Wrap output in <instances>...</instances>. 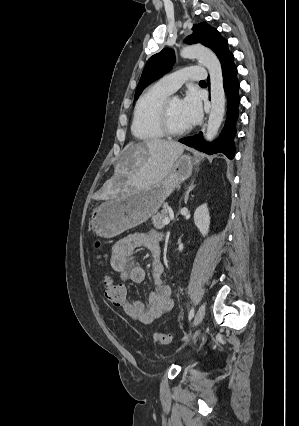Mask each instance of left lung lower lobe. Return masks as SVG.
Instances as JSON below:
<instances>
[{
	"mask_svg": "<svg viewBox=\"0 0 299 426\" xmlns=\"http://www.w3.org/2000/svg\"><path fill=\"white\" fill-rule=\"evenodd\" d=\"M218 58L223 70V84L228 101L227 119L222 134L214 143L204 141L202 132L191 137L182 138L179 142L210 155L223 153L229 159H232L235 154L234 137L236 134V121L239 114V82L233 54L228 49H225L218 55Z\"/></svg>",
	"mask_w": 299,
	"mask_h": 426,
	"instance_id": "obj_1",
	"label": "left lung lower lobe"
}]
</instances>
